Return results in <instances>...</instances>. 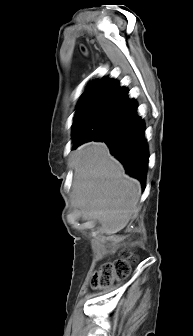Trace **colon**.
Instances as JSON below:
<instances>
[{"instance_id":"5ec220e1","label":"colon","mask_w":193,"mask_h":336,"mask_svg":"<svg viewBox=\"0 0 193 336\" xmlns=\"http://www.w3.org/2000/svg\"><path fill=\"white\" fill-rule=\"evenodd\" d=\"M135 261L136 257L131 251L122 252L119 258L103 264L94 272L91 279L92 288L106 289L114 283L122 281L129 275L131 265Z\"/></svg>"}]
</instances>
